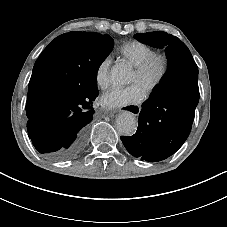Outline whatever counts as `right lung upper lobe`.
Returning <instances> with one entry per match:
<instances>
[{"instance_id":"obj_1","label":"right lung upper lobe","mask_w":227,"mask_h":227,"mask_svg":"<svg viewBox=\"0 0 227 227\" xmlns=\"http://www.w3.org/2000/svg\"><path fill=\"white\" fill-rule=\"evenodd\" d=\"M78 81L79 75L75 69L43 51L34 65L28 86L26 103L28 119L38 118L44 106L57 96L73 94Z\"/></svg>"}]
</instances>
